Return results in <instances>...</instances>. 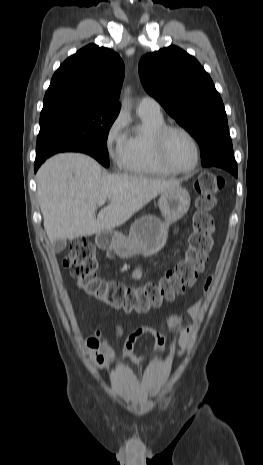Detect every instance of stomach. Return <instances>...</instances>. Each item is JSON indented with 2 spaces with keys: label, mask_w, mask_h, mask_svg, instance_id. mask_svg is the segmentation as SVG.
<instances>
[{
  "label": "stomach",
  "mask_w": 263,
  "mask_h": 465,
  "mask_svg": "<svg viewBox=\"0 0 263 465\" xmlns=\"http://www.w3.org/2000/svg\"><path fill=\"white\" fill-rule=\"evenodd\" d=\"M190 202L188 191L180 186L163 191L158 204L164 221L155 216H144L131 225L127 236L112 231L101 232L96 235V244L101 249L113 250L121 258L154 255L164 247L169 225L188 212Z\"/></svg>",
  "instance_id": "obj_1"
}]
</instances>
